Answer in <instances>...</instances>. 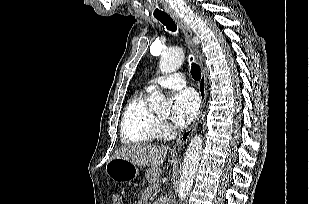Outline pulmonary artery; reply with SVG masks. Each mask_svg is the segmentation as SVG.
<instances>
[{
	"instance_id": "e3ab8cb5",
	"label": "pulmonary artery",
	"mask_w": 309,
	"mask_h": 204,
	"mask_svg": "<svg viewBox=\"0 0 309 204\" xmlns=\"http://www.w3.org/2000/svg\"><path fill=\"white\" fill-rule=\"evenodd\" d=\"M186 86V81L181 75H171L167 77H158L152 80L146 87L147 92H153L157 89H181Z\"/></svg>"
}]
</instances>
